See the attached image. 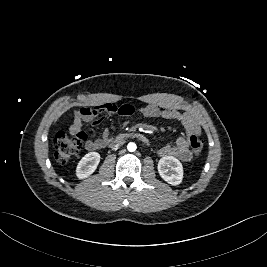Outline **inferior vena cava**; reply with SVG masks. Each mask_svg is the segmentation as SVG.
Segmentation results:
<instances>
[{
    "label": "inferior vena cava",
    "instance_id": "602c4592",
    "mask_svg": "<svg viewBox=\"0 0 267 267\" xmlns=\"http://www.w3.org/2000/svg\"><path fill=\"white\" fill-rule=\"evenodd\" d=\"M124 142L125 141L123 139H118V140L113 141L110 146L113 149H117L118 147H120L121 145H123Z\"/></svg>",
    "mask_w": 267,
    "mask_h": 267
}]
</instances>
